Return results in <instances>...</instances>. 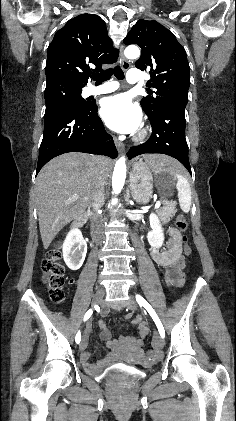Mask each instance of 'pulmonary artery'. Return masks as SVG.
Wrapping results in <instances>:
<instances>
[{
    "instance_id": "1",
    "label": "pulmonary artery",
    "mask_w": 236,
    "mask_h": 421,
    "mask_svg": "<svg viewBox=\"0 0 236 421\" xmlns=\"http://www.w3.org/2000/svg\"><path fill=\"white\" fill-rule=\"evenodd\" d=\"M143 77L141 75V71L138 69H129L127 72V81L130 84H134L136 86H143L141 84ZM120 88L119 83L117 82H107L97 87H89L84 92V96H91V95H101L106 93H111Z\"/></svg>"
}]
</instances>
